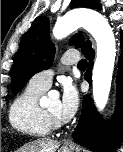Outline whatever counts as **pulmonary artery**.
I'll use <instances>...</instances> for the list:
<instances>
[{"instance_id":"obj_1","label":"pulmonary artery","mask_w":123,"mask_h":152,"mask_svg":"<svg viewBox=\"0 0 123 152\" xmlns=\"http://www.w3.org/2000/svg\"><path fill=\"white\" fill-rule=\"evenodd\" d=\"M79 60V54L74 51H67L61 57V63L63 65H72L78 63ZM53 75L54 72L52 69L43 70L31 78L29 85L42 90H47L52 83Z\"/></svg>"}]
</instances>
